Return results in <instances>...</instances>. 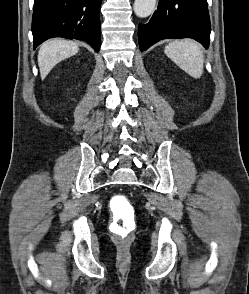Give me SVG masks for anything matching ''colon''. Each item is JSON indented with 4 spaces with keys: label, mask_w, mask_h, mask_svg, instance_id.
Masks as SVG:
<instances>
[{
    "label": "colon",
    "mask_w": 249,
    "mask_h": 294,
    "mask_svg": "<svg viewBox=\"0 0 249 294\" xmlns=\"http://www.w3.org/2000/svg\"><path fill=\"white\" fill-rule=\"evenodd\" d=\"M128 201L124 196H115L111 201V206L115 212V217L111 223L112 232L121 239H127L135 228V222L128 213Z\"/></svg>",
    "instance_id": "obj_1"
}]
</instances>
